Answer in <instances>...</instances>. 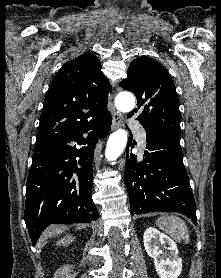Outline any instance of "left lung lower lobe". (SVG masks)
Listing matches in <instances>:
<instances>
[{
  "label": "left lung lower lobe",
  "mask_w": 221,
  "mask_h": 278,
  "mask_svg": "<svg viewBox=\"0 0 221 278\" xmlns=\"http://www.w3.org/2000/svg\"><path fill=\"white\" fill-rule=\"evenodd\" d=\"M143 160L126 148L124 180L130 201V212L154 211L182 213L196 222V206L189 178L183 164L180 137L147 135Z\"/></svg>",
  "instance_id": "0a47b994"
}]
</instances>
